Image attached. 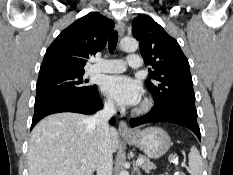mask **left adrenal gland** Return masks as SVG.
<instances>
[{
  "instance_id": "1",
  "label": "left adrenal gland",
  "mask_w": 233,
  "mask_h": 175,
  "mask_svg": "<svg viewBox=\"0 0 233 175\" xmlns=\"http://www.w3.org/2000/svg\"><path fill=\"white\" fill-rule=\"evenodd\" d=\"M133 171L137 173V175H142L140 168L137 165H133Z\"/></svg>"
}]
</instances>
